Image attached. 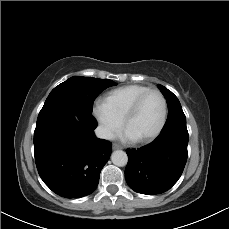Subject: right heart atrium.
I'll return each instance as SVG.
<instances>
[{
	"label": "right heart atrium",
	"mask_w": 229,
	"mask_h": 229,
	"mask_svg": "<svg viewBox=\"0 0 229 229\" xmlns=\"http://www.w3.org/2000/svg\"><path fill=\"white\" fill-rule=\"evenodd\" d=\"M93 112L107 138L115 137L121 129V120L117 119L103 101H96Z\"/></svg>",
	"instance_id": "1"
}]
</instances>
